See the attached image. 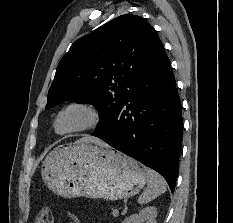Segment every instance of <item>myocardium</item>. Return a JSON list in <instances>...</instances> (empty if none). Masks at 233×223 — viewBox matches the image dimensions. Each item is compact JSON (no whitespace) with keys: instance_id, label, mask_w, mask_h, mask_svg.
I'll list each match as a JSON object with an SVG mask.
<instances>
[{"instance_id":"myocardium-1","label":"myocardium","mask_w":233,"mask_h":223,"mask_svg":"<svg viewBox=\"0 0 233 223\" xmlns=\"http://www.w3.org/2000/svg\"><path fill=\"white\" fill-rule=\"evenodd\" d=\"M73 107H79V108H83V109L87 110L91 114L93 121L90 125L82 128V129L72 131V132H67V133H60L56 129V124H57L58 118L60 117V115L64 111H66L70 108H73ZM103 121H104L103 112L97 104L90 102V101L78 100V101H73V102L66 104L56 113V115L53 119V122H52V129L59 136L82 135V134H87V133H90V132L97 130L98 128L101 127V125L103 124Z\"/></svg>"}]
</instances>
